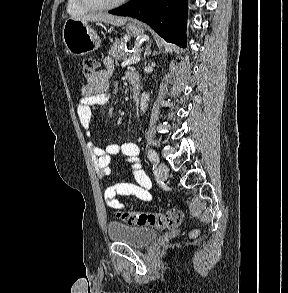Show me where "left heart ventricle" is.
Here are the masks:
<instances>
[{
	"instance_id": "obj_1",
	"label": "left heart ventricle",
	"mask_w": 288,
	"mask_h": 293,
	"mask_svg": "<svg viewBox=\"0 0 288 293\" xmlns=\"http://www.w3.org/2000/svg\"><path fill=\"white\" fill-rule=\"evenodd\" d=\"M97 1L104 2V3H109V2H114V1H117V0H97Z\"/></svg>"
}]
</instances>
